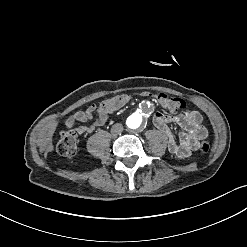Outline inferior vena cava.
Returning a JSON list of instances; mask_svg holds the SVG:
<instances>
[{
  "label": "inferior vena cava",
  "instance_id": "obj_1",
  "mask_svg": "<svg viewBox=\"0 0 247 247\" xmlns=\"http://www.w3.org/2000/svg\"><path fill=\"white\" fill-rule=\"evenodd\" d=\"M123 131V125L121 123H116L111 128V133L113 135L120 134Z\"/></svg>",
  "mask_w": 247,
  "mask_h": 247
}]
</instances>
